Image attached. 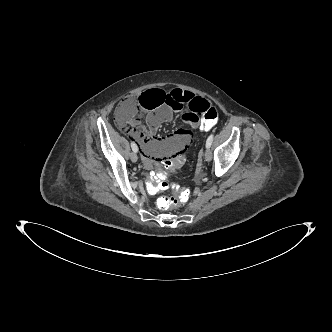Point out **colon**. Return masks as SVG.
I'll use <instances>...</instances> for the list:
<instances>
[{"mask_svg": "<svg viewBox=\"0 0 332 332\" xmlns=\"http://www.w3.org/2000/svg\"><path fill=\"white\" fill-rule=\"evenodd\" d=\"M138 98V97H137ZM137 98L124 100L117 109L119 120L126 124L136 113ZM202 120L197 125V130L201 134L212 132L219 120V112L215 107L209 106L201 113ZM193 161V154L190 151H182L174 155H168L162 162V169L167 173H176ZM147 189L151 193L161 190H172L173 196L162 197L158 200V205L163 209L177 208L183 206L190 196V189L181 186L177 182H170L167 177L161 173L153 174L148 182Z\"/></svg>", "mask_w": 332, "mask_h": 332, "instance_id": "5ec220e1", "label": "colon"}]
</instances>
